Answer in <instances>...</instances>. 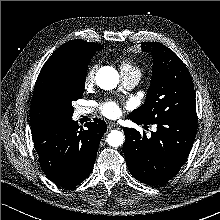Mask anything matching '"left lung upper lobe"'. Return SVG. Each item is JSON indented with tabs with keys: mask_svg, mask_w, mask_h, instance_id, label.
I'll list each match as a JSON object with an SVG mask.
<instances>
[{
	"mask_svg": "<svg viewBox=\"0 0 220 220\" xmlns=\"http://www.w3.org/2000/svg\"><path fill=\"white\" fill-rule=\"evenodd\" d=\"M141 49L153 56L152 80L145 103L129 117L144 124L169 116L197 120L195 92L186 65L161 43L143 42Z\"/></svg>",
	"mask_w": 220,
	"mask_h": 220,
	"instance_id": "1",
	"label": "left lung upper lobe"
}]
</instances>
